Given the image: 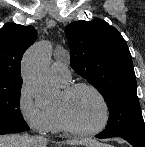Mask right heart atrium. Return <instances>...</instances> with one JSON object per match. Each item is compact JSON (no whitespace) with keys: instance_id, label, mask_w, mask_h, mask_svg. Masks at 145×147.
<instances>
[{"instance_id":"right-heart-atrium-1","label":"right heart atrium","mask_w":145,"mask_h":147,"mask_svg":"<svg viewBox=\"0 0 145 147\" xmlns=\"http://www.w3.org/2000/svg\"><path fill=\"white\" fill-rule=\"evenodd\" d=\"M17 109L22 120L32 129L47 133L52 129V117L49 109L38 105L30 88L23 83L18 92Z\"/></svg>"}]
</instances>
